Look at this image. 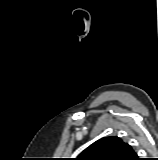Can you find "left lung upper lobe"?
Here are the masks:
<instances>
[{"mask_svg":"<svg viewBox=\"0 0 158 160\" xmlns=\"http://www.w3.org/2000/svg\"><path fill=\"white\" fill-rule=\"evenodd\" d=\"M136 153L119 137H105L97 140L75 160H132Z\"/></svg>","mask_w":158,"mask_h":160,"instance_id":"5c2ea615","label":"left lung upper lobe"}]
</instances>
